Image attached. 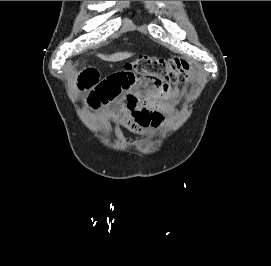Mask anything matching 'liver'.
Masks as SVG:
<instances>
[{"mask_svg": "<svg viewBox=\"0 0 271 266\" xmlns=\"http://www.w3.org/2000/svg\"><path fill=\"white\" fill-rule=\"evenodd\" d=\"M101 59L106 60V61H112V62H117V61H122L125 60L129 57L132 56L131 53H115L110 56H105V55H98Z\"/></svg>", "mask_w": 271, "mask_h": 266, "instance_id": "1", "label": "liver"}]
</instances>
